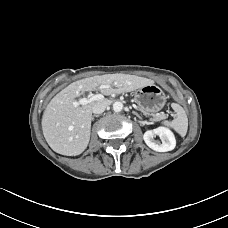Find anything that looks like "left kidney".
<instances>
[{
    "label": "left kidney",
    "instance_id": "left-kidney-1",
    "mask_svg": "<svg viewBox=\"0 0 228 228\" xmlns=\"http://www.w3.org/2000/svg\"><path fill=\"white\" fill-rule=\"evenodd\" d=\"M159 136L162 143L154 138ZM143 139L148 147L157 152L171 151L176 146L175 136L171 130L166 127H158L153 130H148L144 133Z\"/></svg>",
    "mask_w": 228,
    "mask_h": 228
}]
</instances>
